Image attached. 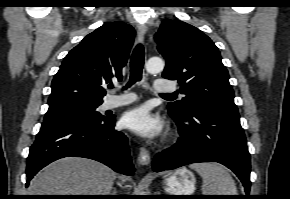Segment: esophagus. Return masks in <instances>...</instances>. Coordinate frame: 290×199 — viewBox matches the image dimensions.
I'll use <instances>...</instances> for the list:
<instances>
[{
	"instance_id": "1",
	"label": "esophagus",
	"mask_w": 290,
	"mask_h": 199,
	"mask_svg": "<svg viewBox=\"0 0 290 199\" xmlns=\"http://www.w3.org/2000/svg\"><path fill=\"white\" fill-rule=\"evenodd\" d=\"M137 32H138V36L140 38L141 41H144L145 37H146V27L144 25H137ZM137 161L140 165H149L150 164V153L149 151L144 148L141 147L140 148V152L137 158Z\"/></svg>"
}]
</instances>
